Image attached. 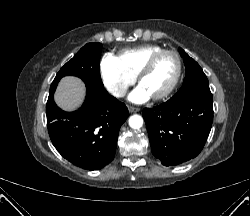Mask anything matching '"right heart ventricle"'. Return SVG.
<instances>
[{
	"instance_id": "right-heart-ventricle-1",
	"label": "right heart ventricle",
	"mask_w": 250,
	"mask_h": 216,
	"mask_svg": "<svg viewBox=\"0 0 250 216\" xmlns=\"http://www.w3.org/2000/svg\"><path fill=\"white\" fill-rule=\"evenodd\" d=\"M162 49L163 48L158 45H143L136 48L125 49L119 53L117 58L121 65L130 74L136 77L150 57Z\"/></svg>"
}]
</instances>
